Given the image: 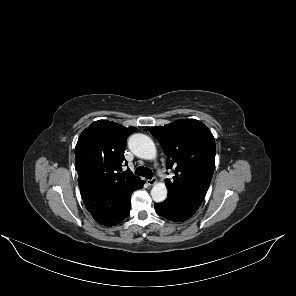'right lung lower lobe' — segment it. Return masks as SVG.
I'll return each instance as SVG.
<instances>
[{
  "label": "right lung lower lobe",
  "mask_w": 296,
  "mask_h": 296,
  "mask_svg": "<svg viewBox=\"0 0 296 296\" xmlns=\"http://www.w3.org/2000/svg\"><path fill=\"white\" fill-rule=\"evenodd\" d=\"M79 182L80 193L87 210L102 225L112 226L123 221L130 212L131 194L140 189L144 181L122 188H95L87 179Z\"/></svg>",
  "instance_id": "1"
}]
</instances>
